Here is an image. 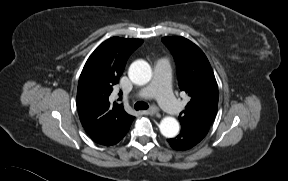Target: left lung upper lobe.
<instances>
[{
	"instance_id": "1",
	"label": "left lung upper lobe",
	"mask_w": 288,
	"mask_h": 181,
	"mask_svg": "<svg viewBox=\"0 0 288 181\" xmlns=\"http://www.w3.org/2000/svg\"><path fill=\"white\" fill-rule=\"evenodd\" d=\"M177 65L178 82L191 100L179 116L181 126L208 129L218 106V86L210 63L202 50L184 37H164Z\"/></svg>"
}]
</instances>
